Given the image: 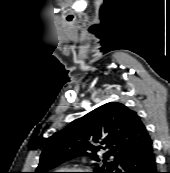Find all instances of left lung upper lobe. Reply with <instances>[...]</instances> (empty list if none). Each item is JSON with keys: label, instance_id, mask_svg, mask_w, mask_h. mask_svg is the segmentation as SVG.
Masks as SVG:
<instances>
[{"label": "left lung upper lobe", "instance_id": "left-lung-upper-lobe-1", "mask_svg": "<svg viewBox=\"0 0 170 173\" xmlns=\"http://www.w3.org/2000/svg\"><path fill=\"white\" fill-rule=\"evenodd\" d=\"M151 142V138L135 111L117 102L106 103L50 137L44 147L35 173L78 156L88 155L96 164L93 173H113L120 160ZM103 152V160L97 155ZM114 156L115 160L110 158Z\"/></svg>", "mask_w": 170, "mask_h": 173}]
</instances>
